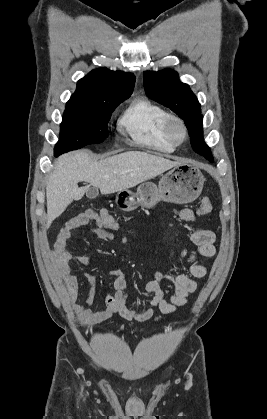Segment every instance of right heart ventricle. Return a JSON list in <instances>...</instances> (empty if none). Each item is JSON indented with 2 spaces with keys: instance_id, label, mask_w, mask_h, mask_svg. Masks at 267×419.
Returning a JSON list of instances; mask_svg holds the SVG:
<instances>
[{
  "instance_id": "e07e8e85",
  "label": "right heart ventricle",
  "mask_w": 267,
  "mask_h": 419,
  "mask_svg": "<svg viewBox=\"0 0 267 419\" xmlns=\"http://www.w3.org/2000/svg\"><path fill=\"white\" fill-rule=\"evenodd\" d=\"M168 112L148 98L133 99L118 120L120 131L142 147L160 153H172V145L163 134V123Z\"/></svg>"
}]
</instances>
